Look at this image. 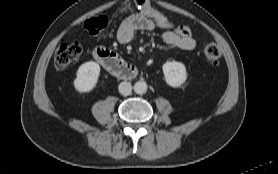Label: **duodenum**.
Instances as JSON below:
<instances>
[{
  "instance_id": "410a0bca",
  "label": "duodenum",
  "mask_w": 278,
  "mask_h": 174,
  "mask_svg": "<svg viewBox=\"0 0 278 174\" xmlns=\"http://www.w3.org/2000/svg\"><path fill=\"white\" fill-rule=\"evenodd\" d=\"M95 59L111 74L129 79L137 74L136 69L127 63L116 52L105 48H97L94 51Z\"/></svg>"
}]
</instances>
